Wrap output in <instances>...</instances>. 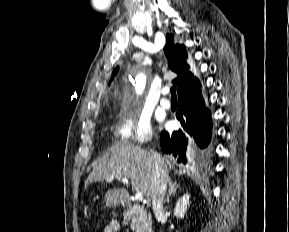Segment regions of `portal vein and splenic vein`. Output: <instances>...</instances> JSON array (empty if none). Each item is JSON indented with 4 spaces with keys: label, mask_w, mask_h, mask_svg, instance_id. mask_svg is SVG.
I'll list each match as a JSON object with an SVG mask.
<instances>
[{
    "label": "portal vein and splenic vein",
    "mask_w": 289,
    "mask_h": 232,
    "mask_svg": "<svg viewBox=\"0 0 289 232\" xmlns=\"http://www.w3.org/2000/svg\"><path fill=\"white\" fill-rule=\"evenodd\" d=\"M113 179H114L113 177H110V178H108L107 181L112 182ZM121 181H122L123 183H125V184H128V183H129V181H128L127 178H122ZM135 199L138 200V201H142V200H143V193L140 192V191H137L136 194H135Z\"/></svg>",
    "instance_id": "obj_1"
}]
</instances>
